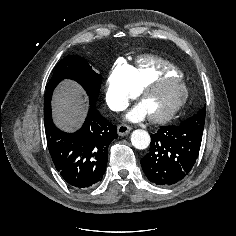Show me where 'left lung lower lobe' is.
I'll return each mask as SVG.
<instances>
[{
    "instance_id": "0a47b994",
    "label": "left lung lower lobe",
    "mask_w": 236,
    "mask_h": 236,
    "mask_svg": "<svg viewBox=\"0 0 236 236\" xmlns=\"http://www.w3.org/2000/svg\"><path fill=\"white\" fill-rule=\"evenodd\" d=\"M203 130L186 125L161 126L151 134L149 153L141 159L147 178L157 185H173L192 169Z\"/></svg>"
}]
</instances>
